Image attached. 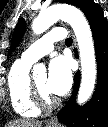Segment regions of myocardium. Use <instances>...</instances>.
Returning <instances> with one entry per match:
<instances>
[{"label": "myocardium", "mask_w": 108, "mask_h": 127, "mask_svg": "<svg viewBox=\"0 0 108 127\" xmlns=\"http://www.w3.org/2000/svg\"><path fill=\"white\" fill-rule=\"evenodd\" d=\"M31 89L34 103L40 110H50L57 104V100L45 94L34 80H31Z\"/></svg>", "instance_id": "1"}]
</instances>
